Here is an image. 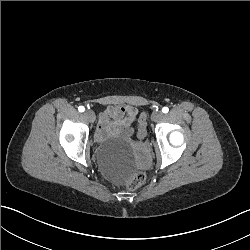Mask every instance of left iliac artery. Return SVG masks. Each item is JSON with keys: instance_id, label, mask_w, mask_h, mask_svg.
I'll list each match as a JSON object with an SVG mask.
<instances>
[{"instance_id": "1", "label": "left iliac artery", "mask_w": 250, "mask_h": 250, "mask_svg": "<svg viewBox=\"0 0 250 250\" xmlns=\"http://www.w3.org/2000/svg\"><path fill=\"white\" fill-rule=\"evenodd\" d=\"M168 111H169V108H168V107H163V108H162V112H163V113H168Z\"/></svg>"}]
</instances>
